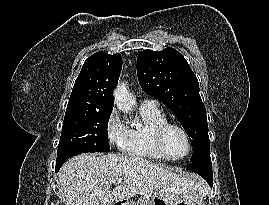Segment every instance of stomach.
Returning a JSON list of instances; mask_svg holds the SVG:
<instances>
[{"label": "stomach", "instance_id": "obj_1", "mask_svg": "<svg viewBox=\"0 0 269 205\" xmlns=\"http://www.w3.org/2000/svg\"><path fill=\"white\" fill-rule=\"evenodd\" d=\"M116 205H205L203 196L161 197L144 195L137 203L131 200H121Z\"/></svg>", "mask_w": 269, "mask_h": 205}]
</instances>
